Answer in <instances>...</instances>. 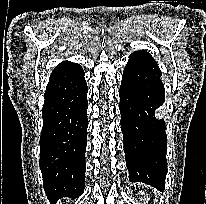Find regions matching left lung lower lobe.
I'll use <instances>...</instances> for the list:
<instances>
[{
	"instance_id": "obj_1",
	"label": "left lung lower lobe",
	"mask_w": 206,
	"mask_h": 204,
	"mask_svg": "<svg viewBox=\"0 0 206 204\" xmlns=\"http://www.w3.org/2000/svg\"><path fill=\"white\" fill-rule=\"evenodd\" d=\"M162 75L156 61L130 59L119 90L121 131L131 182L164 190L167 173L165 121L157 111L165 100Z\"/></svg>"
}]
</instances>
